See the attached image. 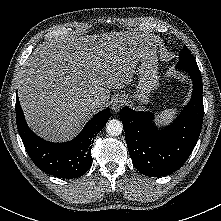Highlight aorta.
<instances>
[{
  "instance_id": "762f6f07",
  "label": "aorta",
  "mask_w": 221,
  "mask_h": 221,
  "mask_svg": "<svg viewBox=\"0 0 221 221\" xmlns=\"http://www.w3.org/2000/svg\"><path fill=\"white\" fill-rule=\"evenodd\" d=\"M123 131V125L121 121L117 119H111L106 124V132L111 136H118Z\"/></svg>"
}]
</instances>
